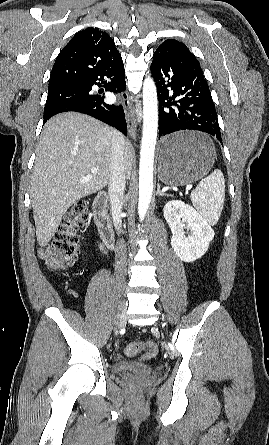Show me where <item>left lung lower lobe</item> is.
I'll use <instances>...</instances> for the list:
<instances>
[{"mask_svg":"<svg viewBox=\"0 0 269 445\" xmlns=\"http://www.w3.org/2000/svg\"><path fill=\"white\" fill-rule=\"evenodd\" d=\"M151 72L159 100L160 137L180 130H198L222 140L208 84L192 53L156 51ZM174 148L171 145L167 150Z\"/></svg>","mask_w":269,"mask_h":445,"instance_id":"obj_1","label":"left lung lower lobe"}]
</instances>
